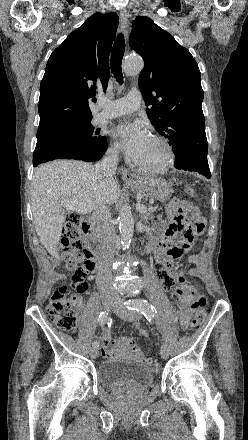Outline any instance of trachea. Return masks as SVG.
I'll return each mask as SVG.
<instances>
[{
    "instance_id": "trachea-1",
    "label": "trachea",
    "mask_w": 248,
    "mask_h": 440,
    "mask_svg": "<svg viewBox=\"0 0 248 440\" xmlns=\"http://www.w3.org/2000/svg\"><path fill=\"white\" fill-rule=\"evenodd\" d=\"M124 51H125L124 36L122 34H118L112 48V53L110 58V68L117 82H119L120 84L123 83L121 64H122Z\"/></svg>"
}]
</instances>
